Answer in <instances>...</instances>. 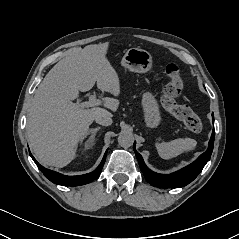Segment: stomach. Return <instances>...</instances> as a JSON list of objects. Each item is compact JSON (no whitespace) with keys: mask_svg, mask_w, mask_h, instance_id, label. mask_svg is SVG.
<instances>
[{"mask_svg":"<svg viewBox=\"0 0 239 239\" xmlns=\"http://www.w3.org/2000/svg\"><path fill=\"white\" fill-rule=\"evenodd\" d=\"M152 62V56L148 51L130 48L123 56L121 64L132 72L146 73L152 68ZM141 104L146 125L151 128L157 127L161 121V116L155 96L149 91L144 92Z\"/></svg>","mask_w":239,"mask_h":239,"instance_id":"0dacf381","label":"stomach"}]
</instances>
